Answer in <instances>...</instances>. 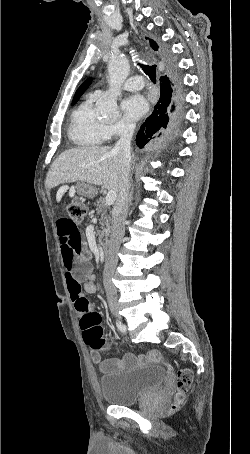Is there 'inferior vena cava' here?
Returning a JSON list of instances; mask_svg holds the SVG:
<instances>
[{
	"label": "inferior vena cava",
	"mask_w": 250,
	"mask_h": 454,
	"mask_svg": "<svg viewBox=\"0 0 250 454\" xmlns=\"http://www.w3.org/2000/svg\"><path fill=\"white\" fill-rule=\"evenodd\" d=\"M134 130V124L126 125L122 130L120 139L113 148V151L122 159L124 175L119 188L118 199L112 213L110 245L103 272L104 288L109 305L117 304V290L112 283V276L117 266V254L125 233L124 223L128 214V205L131 201V194L129 192V172L131 165V139Z\"/></svg>",
	"instance_id": "inferior-vena-cava-1"
}]
</instances>
